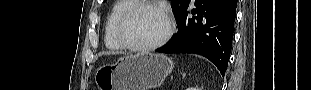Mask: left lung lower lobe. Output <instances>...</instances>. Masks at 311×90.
Returning <instances> with one entry per match:
<instances>
[{
	"instance_id": "obj_1",
	"label": "left lung lower lobe",
	"mask_w": 311,
	"mask_h": 90,
	"mask_svg": "<svg viewBox=\"0 0 311 90\" xmlns=\"http://www.w3.org/2000/svg\"><path fill=\"white\" fill-rule=\"evenodd\" d=\"M189 5V4H188ZM180 13L175 38L155 50L160 53H195L208 58L224 76L231 52L237 0H195Z\"/></svg>"
}]
</instances>
